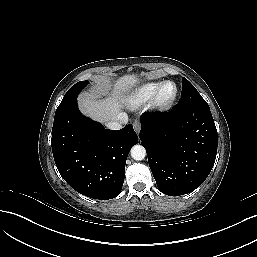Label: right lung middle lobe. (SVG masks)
<instances>
[{
  "mask_svg": "<svg viewBox=\"0 0 257 257\" xmlns=\"http://www.w3.org/2000/svg\"><path fill=\"white\" fill-rule=\"evenodd\" d=\"M88 84V81H80L76 84H74L65 94L63 97L60 105L58 106L56 113H61L62 111L68 109L72 105H74L77 102V96L79 92Z\"/></svg>",
  "mask_w": 257,
  "mask_h": 257,
  "instance_id": "right-lung-middle-lobe-1",
  "label": "right lung middle lobe"
}]
</instances>
